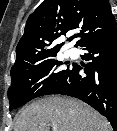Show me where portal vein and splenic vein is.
<instances>
[{
	"label": "portal vein and splenic vein",
	"mask_w": 117,
	"mask_h": 131,
	"mask_svg": "<svg viewBox=\"0 0 117 131\" xmlns=\"http://www.w3.org/2000/svg\"><path fill=\"white\" fill-rule=\"evenodd\" d=\"M53 130H54V131H57V126L54 125V126H53Z\"/></svg>",
	"instance_id": "portal-vein-and-splenic-vein-1"
}]
</instances>
